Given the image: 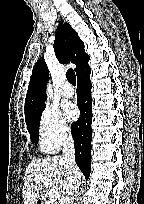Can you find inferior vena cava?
Returning a JSON list of instances; mask_svg holds the SVG:
<instances>
[{
    "label": "inferior vena cava",
    "mask_w": 144,
    "mask_h": 204,
    "mask_svg": "<svg viewBox=\"0 0 144 204\" xmlns=\"http://www.w3.org/2000/svg\"><path fill=\"white\" fill-rule=\"evenodd\" d=\"M63 160L69 175V189L61 204H74L81 183V172L75 162V148L71 134L63 137Z\"/></svg>",
    "instance_id": "inferior-vena-cava-1"
}]
</instances>
